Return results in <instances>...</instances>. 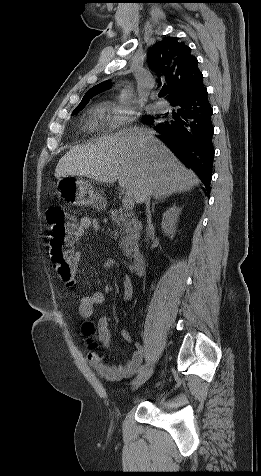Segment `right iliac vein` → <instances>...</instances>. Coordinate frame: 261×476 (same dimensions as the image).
<instances>
[{
  "instance_id": "right-iliac-vein-1",
  "label": "right iliac vein",
  "mask_w": 261,
  "mask_h": 476,
  "mask_svg": "<svg viewBox=\"0 0 261 476\" xmlns=\"http://www.w3.org/2000/svg\"><path fill=\"white\" fill-rule=\"evenodd\" d=\"M153 374V368H147L143 372L139 373L132 382V387L137 389L144 384Z\"/></svg>"
}]
</instances>
